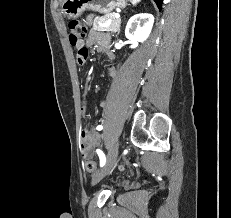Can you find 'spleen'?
Segmentation results:
<instances>
[{
    "instance_id": "spleen-1",
    "label": "spleen",
    "mask_w": 231,
    "mask_h": 218,
    "mask_svg": "<svg viewBox=\"0 0 231 218\" xmlns=\"http://www.w3.org/2000/svg\"><path fill=\"white\" fill-rule=\"evenodd\" d=\"M131 3L135 6L137 5L141 0H130Z\"/></svg>"
}]
</instances>
